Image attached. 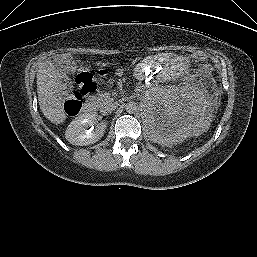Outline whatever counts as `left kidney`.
Returning <instances> with one entry per match:
<instances>
[{
  "mask_svg": "<svg viewBox=\"0 0 257 257\" xmlns=\"http://www.w3.org/2000/svg\"><path fill=\"white\" fill-rule=\"evenodd\" d=\"M144 121L151 140L162 145L176 144L207 128L206 101L192 90L163 89L146 102Z\"/></svg>",
  "mask_w": 257,
  "mask_h": 257,
  "instance_id": "5707ae66",
  "label": "left kidney"
}]
</instances>
